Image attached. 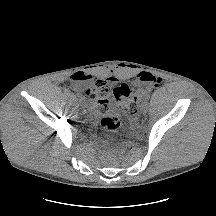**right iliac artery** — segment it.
<instances>
[{"label":"right iliac artery","instance_id":"1","mask_svg":"<svg viewBox=\"0 0 216 216\" xmlns=\"http://www.w3.org/2000/svg\"><path fill=\"white\" fill-rule=\"evenodd\" d=\"M77 98H78L80 101L83 99L81 94H78V95H77Z\"/></svg>","mask_w":216,"mask_h":216}]
</instances>
